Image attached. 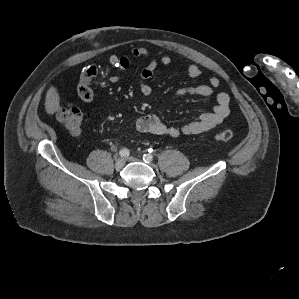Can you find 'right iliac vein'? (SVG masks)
I'll return each mask as SVG.
<instances>
[{
	"instance_id": "right-iliac-vein-1",
	"label": "right iliac vein",
	"mask_w": 299,
	"mask_h": 299,
	"mask_svg": "<svg viewBox=\"0 0 299 299\" xmlns=\"http://www.w3.org/2000/svg\"><path fill=\"white\" fill-rule=\"evenodd\" d=\"M124 165H125V160H124L123 158H119V159H117L116 162H115V168H116L117 170L123 168Z\"/></svg>"
}]
</instances>
